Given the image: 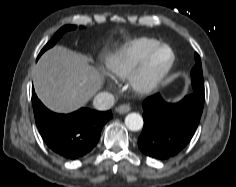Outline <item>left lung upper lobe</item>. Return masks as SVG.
Returning a JSON list of instances; mask_svg holds the SVG:
<instances>
[{
  "label": "left lung upper lobe",
  "mask_w": 236,
  "mask_h": 187,
  "mask_svg": "<svg viewBox=\"0 0 236 187\" xmlns=\"http://www.w3.org/2000/svg\"><path fill=\"white\" fill-rule=\"evenodd\" d=\"M195 60H196V64L191 71L193 90L196 94H198L202 97H205L204 96V79H203L201 59L197 53H195Z\"/></svg>",
  "instance_id": "obj_1"
}]
</instances>
